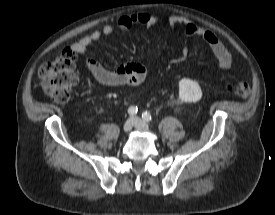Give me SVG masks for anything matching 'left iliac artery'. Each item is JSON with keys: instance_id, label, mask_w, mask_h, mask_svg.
Returning a JSON list of instances; mask_svg holds the SVG:
<instances>
[{"instance_id": "44dca946", "label": "left iliac artery", "mask_w": 275, "mask_h": 215, "mask_svg": "<svg viewBox=\"0 0 275 215\" xmlns=\"http://www.w3.org/2000/svg\"><path fill=\"white\" fill-rule=\"evenodd\" d=\"M142 118L146 122H150L152 119L150 113H148L147 111L142 113Z\"/></svg>"}]
</instances>
